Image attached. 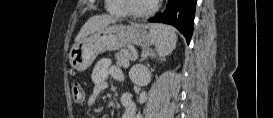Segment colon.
I'll list each match as a JSON object with an SVG mask.
<instances>
[{
	"instance_id": "obj_1",
	"label": "colon",
	"mask_w": 273,
	"mask_h": 118,
	"mask_svg": "<svg viewBox=\"0 0 273 118\" xmlns=\"http://www.w3.org/2000/svg\"><path fill=\"white\" fill-rule=\"evenodd\" d=\"M72 99L76 104H81L85 99L84 89L78 82L72 85Z\"/></svg>"
}]
</instances>
